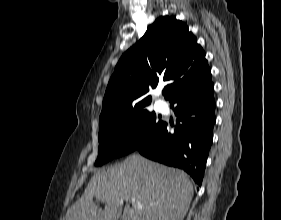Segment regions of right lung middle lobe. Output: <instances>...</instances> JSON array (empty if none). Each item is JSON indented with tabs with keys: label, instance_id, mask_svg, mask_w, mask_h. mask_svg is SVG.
<instances>
[{
	"label": "right lung middle lobe",
	"instance_id": "dd1d6c3e",
	"mask_svg": "<svg viewBox=\"0 0 281 220\" xmlns=\"http://www.w3.org/2000/svg\"><path fill=\"white\" fill-rule=\"evenodd\" d=\"M163 124L154 112L143 109L118 117L99 126V151L96 166L114 157L135 151Z\"/></svg>",
	"mask_w": 281,
	"mask_h": 220
}]
</instances>
